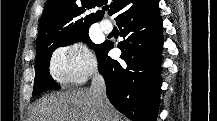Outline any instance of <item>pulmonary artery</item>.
<instances>
[{
    "label": "pulmonary artery",
    "instance_id": "pulmonary-artery-1",
    "mask_svg": "<svg viewBox=\"0 0 217 121\" xmlns=\"http://www.w3.org/2000/svg\"><path fill=\"white\" fill-rule=\"evenodd\" d=\"M99 27L104 33H110L113 30V24L108 20L100 22Z\"/></svg>",
    "mask_w": 217,
    "mask_h": 121
}]
</instances>
